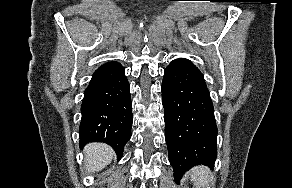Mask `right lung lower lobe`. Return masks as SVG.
Returning <instances> with one entry per match:
<instances>
[{"label": "right lung lower lobe", "mask_w": 292, "mask_h": 188, "mask_svg": "<svg viewBox=\"0 0 292 188\" xmlns=\"http://www.w3.org/2000/svg\"><path fill=\"white\" fill-rule=\"evenodd\" d=\"M81 113L80 144L106 143L120 160L133 122L130 87L121 64L107 62L94 72L84 93Z\"/></svg>", "instance_id": "right-lung-lower-lobe-1"}]
</instances>
